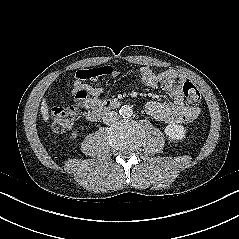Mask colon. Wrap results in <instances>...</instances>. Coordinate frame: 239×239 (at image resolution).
I'll return each instance as SVG.
<instances>
[{
	"label": "colon",
	"instance_id": "colon-1",
	"mask_svg": "<svg viewBox=\"0 0 239 239\" xmlns=\"http://www.w3.org/2000/svg\"><path fill=\"white\" fill-rule=\"evenodd\" d=\"M101 70H94L92 75L101 74ZM182 91L187 101L192 105H198L201 101V93L197 86L190 81H185L182 84ZM76 109L72 106H64L55 108L52 111V128L57 133H63L68 131L75 119H76Z\"/></svg>",
	"mask_w": 239,
	"mask_h": 239
}]
</instances>
